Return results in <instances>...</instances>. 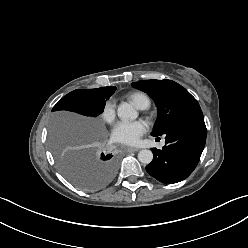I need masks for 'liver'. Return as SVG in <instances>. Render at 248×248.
Returning <instances> with one entry per match:
<instances>
[{"mask_svg": "<svg viewBox=\"0 0 248 248\" xmlns=\"http://www.w3.org/2000/svg\"><path fill=\"white\" fill-rule=\"evenodd\" d=\"M58 132H63L60 138H65L68 134L82 132V134L92 137L94 134V125L79 117L70 115H61L56 121Z\"/></svg>", "mask_w": 248, "mask_h": 248, "instance_id": "obj_1", "label": "liver"}]
</instances>
